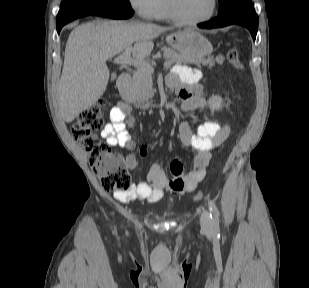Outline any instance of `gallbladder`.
I'll list each match as a JSON object with an SVG mask.
<instances>
[{
    "label": "gallbladder",
    "mask_w": 309,
    "mask_h": 288,
    "mask_svg": "<svg viewBox=\"0 0 309 288\" xmlns=\"http://www.w3.org/2000/svg\"><path fill=\"white\" fill-rule=\"evenodd\" d=\"M115 78H116V75H115V74H113V75H112V79H115Z\"/></svg>",
    "instance_id": "obj_1"
}]
</instances>
